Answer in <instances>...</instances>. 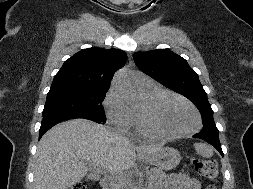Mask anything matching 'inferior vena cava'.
<instances>
[{
    "instance_id": "1",
    "label": "inferior vena cava",
    "mask_w": 253,
    "mask_h": 189,
    "mask_svg": "<svg viewBox=\"0 0 253 189\" xmlns=\"http://www.w3.org/2000/svg\"><path fill=\"white\" fill-rule=\"evenodd\" d=\"M128 179L122 173L112 175L109 179V189H125Z\"/></svg>"
}]
</instances>
